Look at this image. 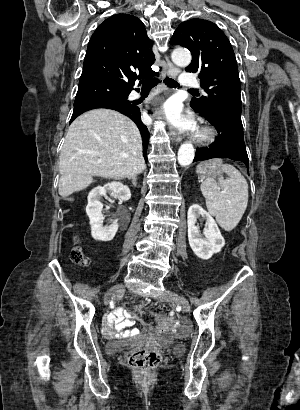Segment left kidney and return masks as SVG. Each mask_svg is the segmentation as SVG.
<instances>
[{
	"label": "left kidney",
	"instance_id": "1",
	"mask_svg": "<svg viewBox=\"0 0 300 410\" xmlns=\"http://www.w3.org/2000/svg\"><path fill=\"white\" fill-rule=\"evenodd\" d=\"M199 217L206 220V227L203 231L204 238L201 237L199 228L196 225ZM187 224L189 245L197 257L208 260L213 254L221 251L225 245V240L213 217L200 205L193 204L190 206Z\"/></svg>",
	"mask_w": 300,
	"mask_h": 410
}]
</instances>
